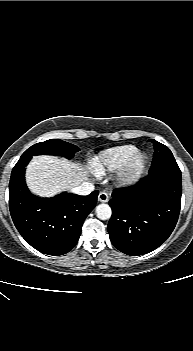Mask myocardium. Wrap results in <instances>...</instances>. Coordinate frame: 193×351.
Wrapping results in <instances>:
<instances>
[{
	"label": "myocardium",
	"mask_w": 193,
	"mask_h": 351,
	"mask_svg": "<svg viewBox=\"0 0 193 351\" xmlns=\"http://www.w3.org/2000/svg\"><path fill=\"white\" fill-rule=\"evenodd\" d=\"M139 158H140L139 156H135V157L132 159V161L138 162Z\"/></svg>",
	"instance_id": "myocardium-1"
}]
</instances>
